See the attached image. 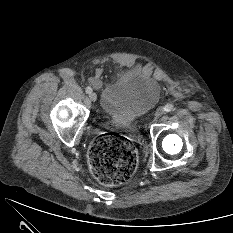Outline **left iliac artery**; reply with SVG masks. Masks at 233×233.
<instances>
[{
  "mask_svg": "<svg viewBox=\"0 0 233 233\" xmlns=\"http://www.w3.org/2000/svg\"><path fill=\"white\" fill-rule=\"evenodd\" d=\"M174 110V106L172 104H167L165 107H164V111L166 112H171Z\"/></svg>",
  "mask_w": 233,
  "mask_h": 233,
  "instance_id": "obj_1",
  "label": "left iliac artery"
}]
</instances>
